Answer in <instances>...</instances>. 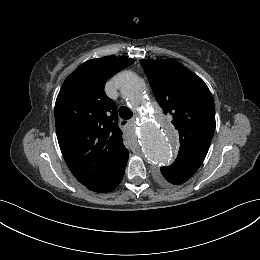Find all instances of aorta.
Masks as SVG:
<instances>
[{
  "label": "aorta",
  "mask_w": 260,
  "mask_h": 260,
  "mask_svg": "<svg viewBox=\"0 0 260 260\" xmlns=\"http://www.w3.org/2000/svg\"><path fill=\"white\" fill-rule=\"evenodd\" d=\"M120 91L129 105L142 114L137 136L146 159L157 167L171 163L177 146L176 132L170 124L144 112L148 100L143 81L136 74L126 72L120 79Z\"/></svg>",
  "instance_id": "obj_1"
}]
</instances>
